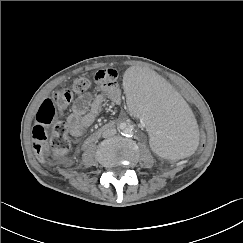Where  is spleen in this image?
I'll return each mask as SVG.
<instances>
[{
    "label": "spleen",
    "instance_id": "1",
    "mask_svg": "<svg viewBox=\"0 0 243 243\" xmlns=\"http://www.w3.org/2000/svg\"><path fill=\"white\" fill-rule=\"evenodd\" d=\"M122 92L159 156L175 160L195 149L199 130L191 110L160 73L146 68L135 70L125 79Z\"/></svg>",
    "mask_w": 243,
    "mask_h": 243
}]
</instances>
